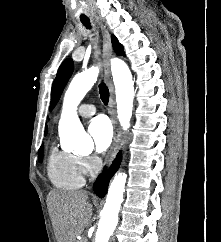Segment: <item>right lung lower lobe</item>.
Wrapping results in <instances>:
<instances>
[{
    "mask_svg": "<svg viewBox=\"0 0 221 242\" xmlns=\"http://www.w3.org/2000/svg\"><path fill=\"white\" fill-rule=\"evenodd\" d=\"M121 162V153H118L116 159L114 160L111 168L109 171H104L103 175H100L95 184H94V191L99 197H103L108 188L109 180L113 176V174L117 171Z\"/></svg>",
    "mask_w": 221,
    "mask_h": 242,
    "instance_id": "obj_1",
    "label": "right lung lower lobe"
}]
</instances>
